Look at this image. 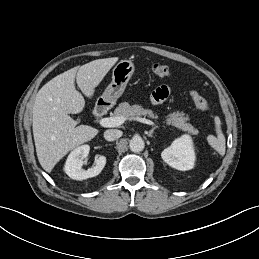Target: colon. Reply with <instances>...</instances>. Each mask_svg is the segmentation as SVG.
<instances>
[{
  "label": "colon",
  "instance_id": "obj_1",
  "mask_svg": "<svg viewBox=\"0 0 259 259\" xmlns=\"http://www.w3.org/2000/svg\"><path fill=\"white\" fill-rule=\"evenodd\" d=\"M152 73L158 77H168L171 75V69L165 64L156 63L151 68ZM190 97L195 106L202 111L210 110V103L196 90L190 92Z\"/></svg>",
  "mask_w": 259,
  "mask_h": 259
}]
</instances>
